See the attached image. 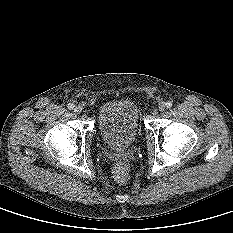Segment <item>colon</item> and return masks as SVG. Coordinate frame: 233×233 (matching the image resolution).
<instances>
[{"instance_id":"1","label":"colon","mask_w":233,"mask_h":233,"mask_svg":"<svg viewBox=\"0 0 233 233\" xmlns=\"http://www.w3.org/2000/svg\"><path fill=\"white\" fill-rule=\"evenodd\" d=\"M115 178L120 182H125L129 177L128 166L124 162H119L114 167Z\"/></svg>"}]
</instances>
